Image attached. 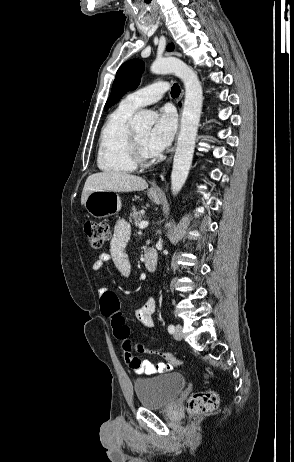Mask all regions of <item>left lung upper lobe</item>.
<instances>
[{"mask_svg":"<svg viewBox=\"0 0 294 462\" xmlns=\"http://www.w3.org/2000/svg\"><path fill=\"white\" fill-rule=\"evenodd\" d=\"M167 50H174V45L169 44ZM144 67L145 64L141 59H132L121 65L116 73L105 110L115 104L125 93L138 87Z\"/></svg>","mask_w":294,"mask_h":462,"instance_id":"obj_1","label":"left lung upper lobe"}]
</instances>
